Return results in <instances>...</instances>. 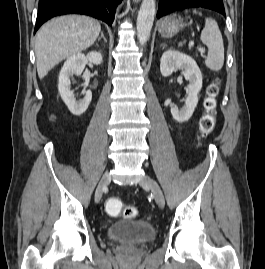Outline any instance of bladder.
Instances as JSON below:
<instances>
[{
    "instance_id": "bladder-1",
    "label": "bladder",
    "mask_w": 265,
    "mask_h": 269,
    "mask_svg": "<svg viewBox=\"0 0 265 269\" xmlns=\"http://www.w3.org/2000/svg\"><path fill=\"white\" fill-rule=\"evenodd\" d=\"M106 235L113 241L146 243L155 239L156 229L146 220L119 221L107 228Z\"/></svg>"
}]
</instances>
